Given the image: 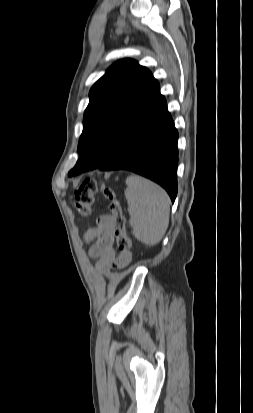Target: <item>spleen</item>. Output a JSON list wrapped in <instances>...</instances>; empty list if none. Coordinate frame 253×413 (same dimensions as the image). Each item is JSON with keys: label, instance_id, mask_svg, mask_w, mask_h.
I'll return each instance as SVG.
<instances>
[{"label": "spleen", "instance_id": "1", "mask_svg": "<svg viewBox=\"0 0 253 413\" xmlns=\"http://www.w3.org/2000/svg\"><path fill=\"white\" fill-rule=\"evenodd\" d=\"M126 185L132 234L146 245H156L169 225L170 198L160 186L137 175L128 176Z\"/></svg>", "mask_w": 253, "mask_h": 413}]
</instances>
